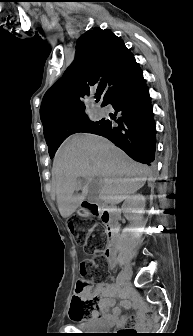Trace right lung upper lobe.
Segmentation results:
<instances>
[{
  "label": "right lung upper lobe",
  "instance_id": "right-lung-upper-lobe-1",
  "mask_svg": "<svg viewBox=\"0 0 193 336\" xmlns=\"http://www.w3.org/2000/svg\"><path fill=\"white\" fill-rule=\"evenodd\" d=\"M134 63L129 49L110 30L93 28L84 33L77 41L74 62L43 97L40 118L46 141L87 115L83 101L91 92L103 95V105Z\"/></svg>",
  "mask_w": 193,
  "mask_h": 336
}]
</instances>
